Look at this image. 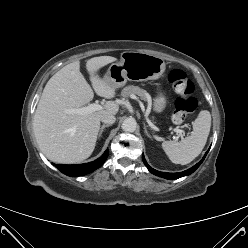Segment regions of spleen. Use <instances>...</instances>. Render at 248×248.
Returning a JSON list of instances; mask_svg holds the SVG:
<instances>
[{
	"label": "spleen",
	"mask_w": 248,
	"mask_h": 248,
	"mask_svg": "<svg viewBox=\"0 0 248 248\" xmlns=\"http://www.w3.org/2000/svg\"><path fill=\"white\" fill-rule=\"evenodd\" d=\"M211 127V114L207 110L199 113L193 123L191 134L181 141H164L162 148L171 162L186 165L202 152Z\"/></svg>",
	"instance_id": "obj_1"
}]
</instances>
